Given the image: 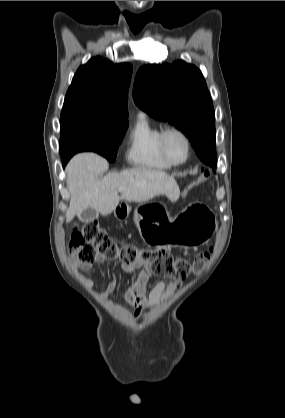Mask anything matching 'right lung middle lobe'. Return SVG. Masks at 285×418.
<instances>
[{"label":"right lung middle lobe","mask_w":285,"mask_h":418,"mask_svg":"<svg viewBox=\"0 0 285 418\" xmlns=\"http://www.w3.org/2000/svg\"><path fill=\"white\" fill-rule=\"evenodd\" d=\"M127 127L128 123L96 115L62 112L60 118L62 160L71 158L78 152L93 151L113 162Z\"/></svg>","instance_id":"dd1d6c3e"}]
</instances>
